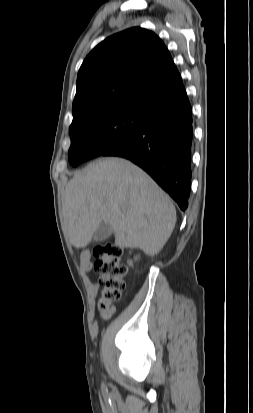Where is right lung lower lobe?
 <instances>
[{"instance_id":"98d812e1","label":"right lung lower lobe","mask_w":253,"mask_h":413,"mask_svg":"<svg viewBox=\"0 0 253 413\" xmlns=\"http://www.w3.org/2000/svg\"><path fill=\"white\" fill-rule=\"evenodd\" d=\"M192 139V108L186 97L152 108L138 131L101 155L123 157L140 166L184 211L191 189Z\"/></svg>"}]
</instances>
